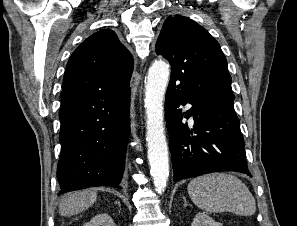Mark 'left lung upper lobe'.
Returning <instances> with one entry per match:
<instances>
[{"label":"left lung upper lobe","instance_id":"5c2ea615","mask_svg":"<svg viewBox=\"0 0 297 226\" xmlns=\"http://www.w3.org/2000/svg\"><path fill=\"white\" fill-rule=\"evenodd\" d=\"M156 53L170 62V80L189 91L234 98L220 45L193 20L180 15L168 17L158 37Z\"/></svg>","mask_w":297,"mask_h":226}]
</instances>
